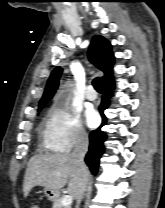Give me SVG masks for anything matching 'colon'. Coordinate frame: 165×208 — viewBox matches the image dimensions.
I'll return each mask as SVG.
<instances>
[{
  "instance_id": "colon-1",
  "label": "colon",
  "mask_w": 165,
  "mask_h": 208,
  "mask_svg": "<svg viewBox=\"0 0 165 208\" xmlns=\"http://www.w3.org/2000/svg\"><path fill=\"white\" fill-rule=\"evenodd\" d=\"M30 208H41L39 203L33 202L30 204Z\"/></svg>"
}]
</instances>
